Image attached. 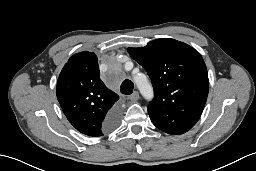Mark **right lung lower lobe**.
Instances as JSON below:
<instances>
[{
    "label": "right lung lower lobe",
    "instance_id": "98d812e1",
    "mask_svg": "<svg viewBox=\"0 0 256 171\" xmlns=\"http://www.w3.org/2000/svg\"><path fill=\"white\" fill-rule=\"evenodd\" d=\"M119 118H120V110L118 107H115L111 110V112L106 118V121L104 123L105 128L108 131L114 129L119 122Z\"/></svg>",
    "mask_w": 256,
    "mask_h": 171
}]
</instances>
